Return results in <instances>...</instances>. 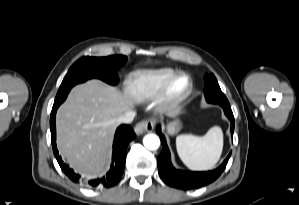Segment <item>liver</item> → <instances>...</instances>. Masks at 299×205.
I'll return each mask as SVG.
<instances>
[{"instance_id":"6515ba94","label":"liver","mask_w":299,"mask_h":205,"mask_svg":"<svg viewBox=\"0 0 299 205\" xmlns=\"http://www.w3.org/2000/svg\"><path fill=\"white\" fill-rule=\"evenodd\" d=\"M132 106L129 94L100 80L75 86L57 112L59 153L84 176L99 174L108 161L117 120Z\"/></svg>"}]
</instances>
